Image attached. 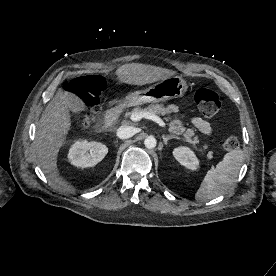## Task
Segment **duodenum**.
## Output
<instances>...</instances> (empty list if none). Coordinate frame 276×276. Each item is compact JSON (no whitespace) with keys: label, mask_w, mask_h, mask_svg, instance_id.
Segmentation results:
<instances>
[{"label":"duodenum","mask_w":276,"mask_h":276,"mask_svg":"<svg viewBox=\"0 0 276 276\" xmlns=\"http://www.w3.org/2000/svg\"><path fill=\"white\" fill-rule=\"evenodd\" d=\"M124 110V105L117 104L109 108L105 114V118L98 126L97 131L100 133L108 131L117 121L120 113Z\"/></svg>","instance_id":"duodenum-1"}]
</instances>
